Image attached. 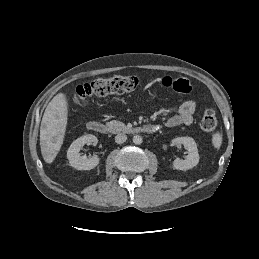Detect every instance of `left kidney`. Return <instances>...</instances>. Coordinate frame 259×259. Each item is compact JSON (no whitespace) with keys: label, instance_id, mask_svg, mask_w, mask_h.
<instances>
[{"label":"left kidney","instance_id":"5707ae66","mask_svg":"<svg viewBox=\"0 0 259 259\" xmlns=\"http://www.w3.org/2000/svg\"><path fill=\"white\" fill-rule=\"evenodd\" d=\"M172 143L182 144L187 150L188 155L183 159H175L173 162V168L176 170L186 171L195 167L199 162V153L197 144L191 137H177Z\"/></svg>","mask_w":259,"mask_h":259}]
</instances>
